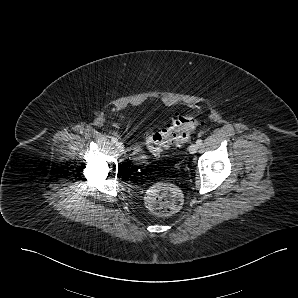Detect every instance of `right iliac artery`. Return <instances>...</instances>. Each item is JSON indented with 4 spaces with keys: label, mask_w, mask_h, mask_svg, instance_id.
<instances>
[{
    "label": "right iliac artery",
    "mask_w": 298,
    "mask_h": 298,
    "mask_svg": "<svg viewBox=\"0 0 298 298\" xmlns=\"http://www.w3.org/2000/svg\"><path fill=\"white\" fill-rule=\"evenodd\" d=\"M111 141H112V143H117V142H118L117 138H115V137H113V138L111 139Z\"/></svg>",
    "instance_id": "right-iliac-artery-1"
}]
</instances>
